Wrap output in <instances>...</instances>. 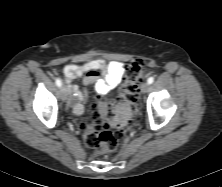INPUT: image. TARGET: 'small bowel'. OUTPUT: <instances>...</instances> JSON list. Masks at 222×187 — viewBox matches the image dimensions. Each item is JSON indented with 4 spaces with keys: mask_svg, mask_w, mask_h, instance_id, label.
I'll list each match as a JSON object with an SVG mask.
<instances>
[{
    "mask_svg": "<svg viewBox=\"0 0 222 187\" xmlns=\"http://www.w3.org/2000/svg\"><path fill=\"white\" fill-rule=\"evenodd\" d=\"M123 74L124 65L118 61L107 62L103 59H93L83 64L65 65L63 75L71 95L70 102L73 105L74 113L77 115L83 113V102L88 96V86H94L101 104L106 95L120 85ZM83 75L84 88L80 89L77 85L72 84V81Z\"/></svg>",
    "mask_w": 222,
    "mask_h": 187,
    "instance_id": "c3829d8e",
    "label": "small bowel"
}]
</instances>
